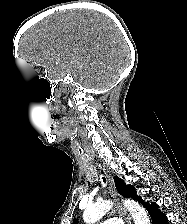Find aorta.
<instances>
[{"instance_id": "aorta-1", "label": "aorta", "mask_w": 187, "mask_h": 224, "mask_svg": "<svg viewBox=\"0 0 187 224\" xmlns=\"http://www.w3.org/2000/svg\"><path fill=\"white\" fill-rule=\"evenodd\" d=\"M112 202L102 201L88 206L84 213L83 219L86 224H94L99 221L112 207ZM124 206L130 212L135 224H150L149 217L144 208L134 200H125Z\"/></svg>"}]
</instances>
